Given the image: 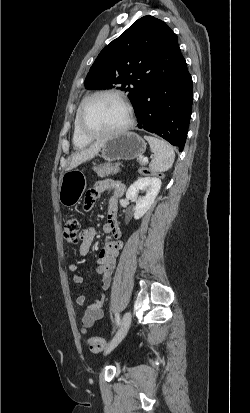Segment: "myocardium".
<instances>
[{"instance_id": "1", "label": "myocardium", "mask_w": 250, "mask_h": 413, "mask_svg": "<svg viewBox=\"0 0 250 413\" xmlns=\"http://www.w3.org/2000/svg\"><path fill=\"white\" fill-rule=\"evenodd\" d=\"M113 96L116 97L117 99H119L125 106L126 110H127V121L125 122V124L114 130V131H110V132H105V133H97V132H92L90 131L85 124V114L86 111L90 105V103L97 97L99 96ZM134 123V109L131 105V103L128 101V99L126 98V96L117 90H113V89H106V90H99L96 91L94 93H92L91 95H89L85 101L83 102L80 111H79V117H78V126H79V130L81 132V134L83 136H85L88 139L94 140V139H106V138H112V137H116L119 136L123 133H125L127 130H129V128L133 125Z\"/></svg>"}]
</instances>
